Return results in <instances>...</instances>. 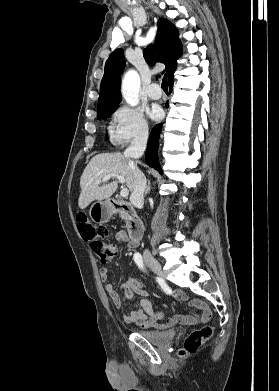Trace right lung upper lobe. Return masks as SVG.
<instances>
[{
    "label": "right lung upper lobe",
    "instance_id": "obj_1",
    "mask_svg": "<svg viewBox=\"0 0 279 391\" xmlns=\"http://www.w3.org/2000/svg\"><path fill=\"white\" fill-rule=\"evenodd\" d=\"M181 44L176 27L167 19H159L158 31L154 46L149 45L144 50L145 60L154 65L155 62L164 63L169 83L173 81V74L177 66V59L181 56ZM125 67L122 49L112 52L105 63L104 76L101 81L98 99V113L113 107L121 101L120 85L121 74Z\"/></svg>",
    "mask_w": 279,
    "mask_h": 391
}]
</instances>
